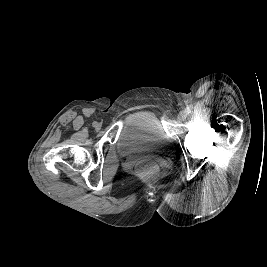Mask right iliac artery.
Here are the masks:
<instances>
[{
	"label": "right iliac artery",
	"instance_id": "right-iliac-artery-1",
	"mask_svg": "<svg viewBox=\"0 0 267 267\" xmlns=\"http://www.w3.org/2000/svg\"><path fill=\"white\" fill-rule=\"evenodd\" d=\"M96 123H97V122H93V124H92V125L95 127Z\"/></svg>",
	"mask_w": 267,
	"mask_h": 267
}]
</instances>
